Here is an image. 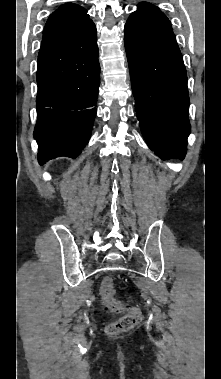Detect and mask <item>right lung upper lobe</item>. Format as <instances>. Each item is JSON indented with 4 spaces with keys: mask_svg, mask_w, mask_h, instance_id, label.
Wrapping results in <instances>:
<instances>
[{
    "mask_svg": "<svg viewBox=\"0 0 221 379\" xmlns=\"http://www.w3.org/2000/svg\"><path fill=\"white\" fill-rule=\"evenodd\" d=\"M91 21L87 10L77 4L67 3L60 6L47 20L41 48L53 45L77 34Z\"/></svg>",
    "mask_w": 221,
    "mask_h": 379,
    "instance_id": "cb5924a9",
    "label": "right lung upper lobe"
}]
</instances>
